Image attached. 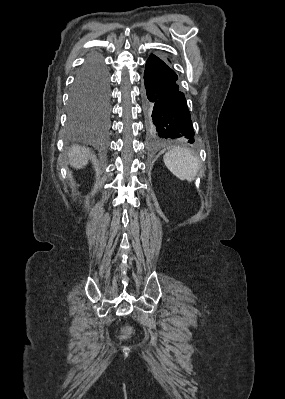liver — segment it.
<instances>
[{
  "mask_svg": "<svg viewBox=\"0 0 285 399\" xmlns=\"http://www.w3.org/2000/svg\"><path fill=\"white\" fill-rule=\"evenodd\" d=\"M92 153L88 148L73 145L68 152L69 162L72 167L81 169L87 165Z\"/></svg>",
  "mask_w": 285,
  "mask_h": 399,
  "instance_id": "1",
  "label": "liver"
}]
</instances>
